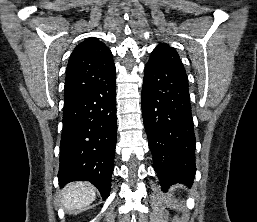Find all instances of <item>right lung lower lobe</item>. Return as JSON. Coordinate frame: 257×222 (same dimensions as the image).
Here are the masks:
<instances>
[{"label":"right lung lower lobe","instance_id":"right-lung-lower-lobe-1","mask_svg":"<svg viewBox=\"0 0 257 222\" xmlns=\"http://www.w3.org/2000/svg\"><path fill=\"white\" fill-rule=\"evenodd\" d=\"M116 73L64 101L58 180L93 183L105 200L110 192L117 139Z\"/></svg>","mask_w":257,"mask_h":222}]
</instances>
